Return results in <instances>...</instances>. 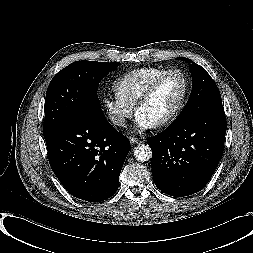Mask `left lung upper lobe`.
I'll return each mask as SVG.
<instances>
[{
  "instance_id": "obj_1",
  "label": "left lung upper lobe",
  "mask_w": 253,
  "mask_h": 253,
  "mask_svg": "<svg viewBox=\"0 0 253 253\" xmlns=\"http://www.w3.org/2000/svg\"><path fill=\"white\" fill-rule=\"evenodd\" d=\"M178 59L190 64L193 86L189 102L176 121L221 105L219 89L207 71L188 58L180 57Z\"/></svg>"
}]
</instances>
